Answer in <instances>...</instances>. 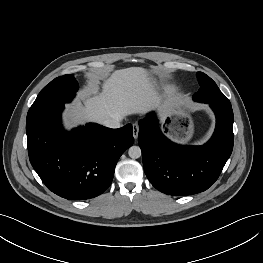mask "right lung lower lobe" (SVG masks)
I'll use <instances>...</instances> for the list:
<instances>
[{
  "label": "right lung lower lobe",
  "mask_w": 263,
  "mask_h": 263,
  "mask_svg": "<svg viewBox=\"0 0 263 263\" xmlns=\"http://www.w3.org/2000/svg\"><path fill=\"white\" fill-rule=\"evenodd\" d=\"M63 108L59 103L27 120L30 162L58 196L94 198L110 186L118 159L133 144L132 125L110 129L89 123L67 133L61 125Z\"/></svg>",
  "instance_id": "right-lung-lower-lobe-1"
}]
</instances>
